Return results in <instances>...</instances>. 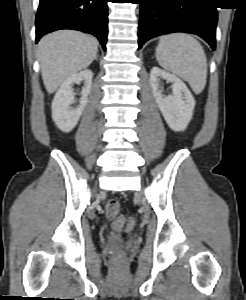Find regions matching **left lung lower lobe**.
Listing matches in <instances>:
<instances>
[{
	"mask_svg": "<svg viewBox=\"0 0 246 300\" xmlns=\"http://www.w3.org/2000/svg\"><path fill=\"white\" fill-rule=\"evenodd\" d=\"M140 7L139 49L151 38L187 32L215 50L217 11L213 0H137Z\"/></svg>",
	"mask_w": 246,
	"mask_h": 300,
	"instance_id": "left-lung-lower-lobe-1",
	"label": "left lung lower lobe"
}]
</instances>
